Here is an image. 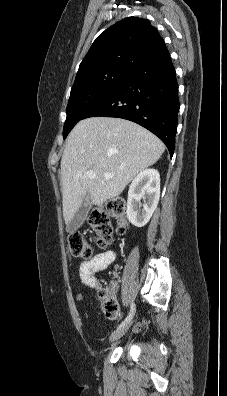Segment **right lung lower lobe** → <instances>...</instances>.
<instances>
[{
	"instance_id": "1",
	"label": "right lung lower lobe",
	"mask_w": 227,
	"mask_h": 396,
	"mask_svg": "<svg viewBox=\"0 0 227 396\" xmlns=\"http://www.w3.org/2000/svg\"><path fill=\"white\" fill-rule=\"evenodd\" d=\"M179 107L176 73L165 47L137 65L83 119L103 116L133 121L158 136L172 156Z\"/></svg>"
}]
</instances>
